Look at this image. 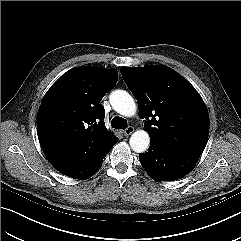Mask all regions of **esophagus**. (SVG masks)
Returning <instances> with one entry per match:
<instances>
[{
	"mask_svg": "<svg viewBox=\"0 0 241 241\" xmlns=\"http://www.w3.org/2000/svg\"><path fill=\"white\" fill-rule=\"evenodd\" d=\"M133 132H134V127L129 126V127H127V128L124 130V135H125V136H129V135H131Z\"/></svg>",
	"mask_w": 241,
	"mask_h": 241,
	"instance_id": "esophagus-1",
	"label": "esophagus"
}]
</instances>
